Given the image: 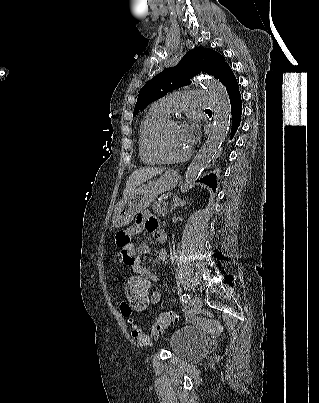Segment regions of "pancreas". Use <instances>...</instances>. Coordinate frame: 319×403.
Listing matches in <instances>:
<instances>
[{
	"instance_id": "1",
	"label": "pancreas",
	"mask_w": 319,
	"mask_h": 403,
	"mask_svg": "<svg viewBox=\"0 0 319 403\" xmlns=\"http://www.w3.org/2000/svg\"><path fill=\"white\" fill-rule=\"evenodd\" d=\"M152 207L153 211L160 216L165 217L168 214L167 206L163 205L161 202L155 203Z\"/></svg>"
}]
</instances>
